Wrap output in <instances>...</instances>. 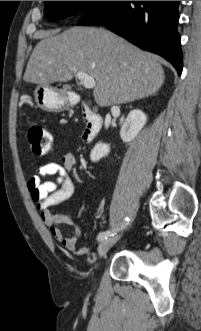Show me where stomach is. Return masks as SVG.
Instances as JSON below:
<instances>
[{
    "instance_id": "0dacf381",
    "label": "stomach",
    "mask_w": 201,
    "mask_h": 331,
    "mask_svg": "<svg viewBox=\"0 0 201 331\" xmlns=\"http://www.w3.org/2000/svg\"><path fill=\"white\" fill-rule=\"evenodd\" d=\"M38 107L47 111H59L67 107L66 100L48 86H37L34 91Z\"/></svg>"
}]
</instances>
